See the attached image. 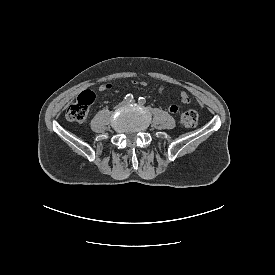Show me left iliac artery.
Instances as JSON below:
<instances>
[{
  "instance_id": "44dca946",
  "label": "left iliac artery",
  "mask_w": 275,
  "mask_h": 275,
  "mask_svg": "<svg viewBox=\"0 0 275 275\" xmlns=\"http://www.w3.org/2000/svg\"><path fill=\"white\" fill-rule=\"evenodd\" d=\"M138 102H139L141 105H143V104L146 103V100H145V98H143V97H139Z\"/></svg>"
}]
</instances>
